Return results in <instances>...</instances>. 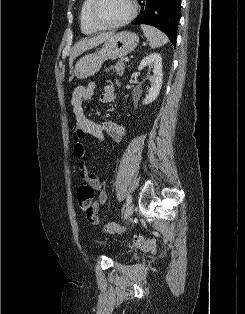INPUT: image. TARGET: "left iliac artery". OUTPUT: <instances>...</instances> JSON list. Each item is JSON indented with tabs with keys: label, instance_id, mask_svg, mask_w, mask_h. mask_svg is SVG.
Wrapping results in <instances>:
<instances>
[{
	"label": "left iliac artery",
	"instance_id": "1",
	"mask_svg": "<svg viewBox=\"0 0 245 314\" xmlns=\"http://www.w3.org/2000/svg\"><path fill=\"white\" fill-rule=\"evenodd\" d=\"M131 202V196H129L128 195V197H127V204H126V206H128V204Z\"/></svg>",
	"mask_w": 245,
	"mask_h": 314
}]
</instances>
